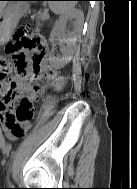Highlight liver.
<instances>
[{"label":"liver","mask_w":137,"mask_h":189,"mask_svg":"<svg viewBox=\"0 0 137 189\" xmlns=\"http://www.w3.org/2000/svg\"><path fill=\"white\" fill-rule=\"evenodd\" d=\"M7 5L6 1H0V13L2 12V10L4 9V7Z\"/></svg>","instance_id":"6515ba94"}]
</instances>
